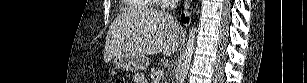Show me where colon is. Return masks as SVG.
I'll list each match as a JSON object with an SVG mask.
<instances>
[{"mask_svg": "<svg viewBox=\"0 0 307 83\" xmlns=\"http://www.w3.org/2000/svg\"><path fill=\"white\" fill-rule=\"evenodd\" d=\"M117 83H123V81H117Z\"/></svg>", "mask_w": 307, "mask_h": 83, "instance_id": "obj_1", "label": "colon"}]
</instances>
